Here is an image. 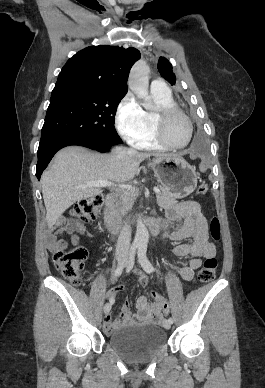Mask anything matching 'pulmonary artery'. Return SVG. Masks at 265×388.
Returning a JSON list of instances; mask_svg holds the SVG:
<instances>
[{"label": "pulmonary artery", "instance_id": "e3ab8cb5", "mask_svg": "<svg viewBox=\"0 0 265 388\" xmlns=\"http://www.w3.org/2000/svg\"><path fill=\"white\" fill-rule=\"evenodd\" d=\"M150 86L154 90H170V83H164L163 79H150Z\"/></svg>", "mask_w": 265, "mask_h": 388}]
</instances>
